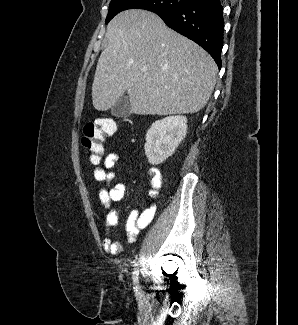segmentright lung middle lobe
Masks as SVG:
<instances>
[{
	"instance_id": "1",
	"label": "right lung middle lobe",
	"mask_w": 298,
	"mask_h": 325,
	"mask_svg": "<svg viewBox=\"0 0 298 325\" xmlns=\"http://www.w3.org/2000/svg\"><path fill=\"white\" fill-rule=\"evenodd\" d=\"M191 0H111L106 17V24L119 12L127 9H145L152 12L157 10L169 11L185 6Z\"/></svg>"
}]
</instances>
